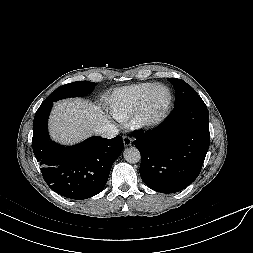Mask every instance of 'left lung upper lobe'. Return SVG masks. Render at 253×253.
<instances>
[{
    "label": "left lung upper lobe",
    "mask_w": 253,
    "mask_h": 253,
    "mask_svg": "<svg viewBox=\"0 0 253 253\" xmlns=\"http://www.w3.org/2000/svg\"><path fill=\"white\" fill-rule=\"evenodd\" d=\"M168 80L173 84L176 93L174 108L201 98L185 81L176 78H168Z\"/></svg>",
    "instance_id": "obj_1"
}]
</instances>
